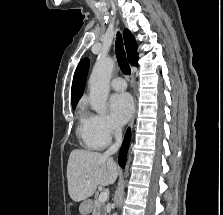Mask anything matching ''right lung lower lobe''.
Returning <instances> with one entry per match:
<instances>
[{
    "mask_svg": "<svg viewBox=\"0 0 223 215\" xmlns=\"http://www.w3.org/2000/svg\"><path fill=\"white\" fill-rule=\"evenodd\" d=\"M129 142H130V130L127 131V133L125 135V139H124L123 144L120 149V155H119L118 161H119V165L121 167H124V165H125L126 154H127Z\"/></svg>",
    "mask_w": 223,
    "mask_h": 215,
    "instance_id": "1",
    "label": "right lung lower lobe"
}]
</instances>
